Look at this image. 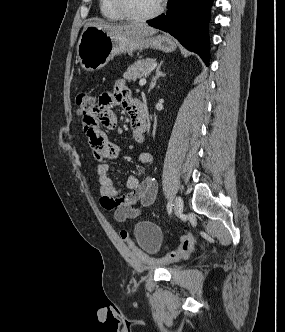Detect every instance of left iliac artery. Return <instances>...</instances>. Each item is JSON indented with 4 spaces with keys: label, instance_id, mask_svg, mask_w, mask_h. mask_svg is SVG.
<instances>
[{
    "label": "left iliac artery",
    "instance_id": "44dca946",
    "mask_svg": "<svg viewBox=\"0 0 285 332\" xmlns=\"http://www.w3.org/2000/svg\"><path fill=\"white\" fill-rule=\"evenodd\" d=\"M172 208H173V203L172 201L170 200L167 204V210H168V213L170 214L172 212Z\"/></svg>",
    "mask_w": 285,
    "mask_h": 332
}]
</instances>
